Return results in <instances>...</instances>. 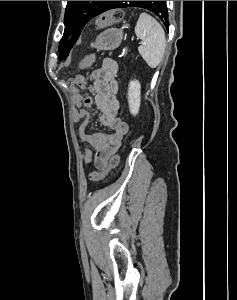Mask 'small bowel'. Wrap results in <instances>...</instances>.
Listing matches in <instances>:
<instances>
[{
    "mask_svg": "<svg viewBox=\"0 0 237 300\" xmlns=\"http://www.w3.org/2000/svg\"><path fill=\"white\" fill-rule=\"evenodd\" d=\"M118 65L112 59L103 60L99 69L88 73L86 76H79V83L76 85L80 89L88 88L93 94V98L88 94L83 97L75 96L76 107H82L76 111L74 121H80L79 136L83 144L91 145L95 151L85 149L83 160L85 164L92 161L97 169L107 166L110 157L115 154L120 146L123 137L127 134L129 126L118 117L119 102L116 98L118 92V82L116 75ZM93 104L100 110V123L111 129V133L102 134L86 133L91 114L94 112Z\"/></svg>",
    "mask_w": 237,
    "mask_h": 300,
    "instance_id": "obj_1",
    "label": "small bowel"
}]
</instances>
